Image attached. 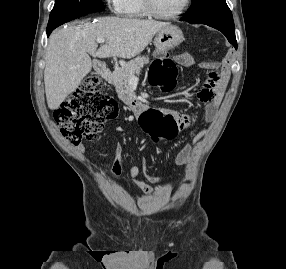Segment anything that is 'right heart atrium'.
Listing matches in <instances>:
<instances>
[{
    "label": "right heart atrium",
    "mask_w": 286,
    "mask_h": 269,
    "mask_svg": "<svg viewBox=\"0 0 286 269\" xmlns=\"http://www.w3.org/2000/svg\"><path fill=\"white\" fill-rule=\"evenodd\" d=\"M121 1L122 0H105L106 4L113 12H119Z\"/></svg>",
    "instance_id": "1"
}]
</instances>
